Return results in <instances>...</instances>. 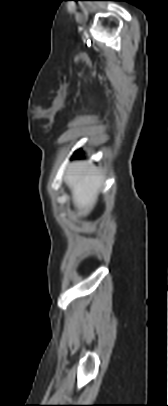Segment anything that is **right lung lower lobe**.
<instances>
[{"label":"right lung lower lobe","instance_id":"1","mask_svg":"<svg viewBox=\"0 0 168 406\" xmlns=\"http://www.w3.org/2000/svg\"><path fill=\"white\" fill-rule=\"evenodd\" d=\"M81 154H83L82 150H77L74 152L73 157L80 156Z\"/></svg>","mask_w":168,"mask_h":406}]
</instances>
